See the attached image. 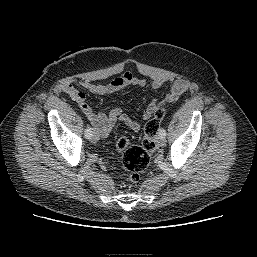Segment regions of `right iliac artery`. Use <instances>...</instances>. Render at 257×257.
Masks as SVG:
<instances>
[{"instance_id":"right-iliac-artery-1","label":"right iliac artery","mask_w":257,"mask_h":257,"mask_svg":"<svg viewBox=\"0 0 257 257\" xmlns=\"http://www.w3.org/2000/svg\"><path fill=\"white\" fill-rule=\"evenodd\" d=\"M92 128L88 125L87 126V128H86V130H85V137L87 138V139H89L91 136H92Z\"/></svg>"}]
</instances>
